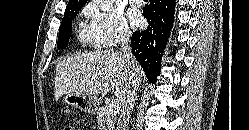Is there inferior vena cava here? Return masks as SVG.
Listing matches in <instances>:
<instances>
[{"instance_id":"inferior-vena-cava-1","label":"inferior vena cava","mask_w":249,"mask_h":130,"mask_svg":"<svg viewBox=\"0 0 249 130\" xmlns=\"http://www.w3.org/2000/svg\"><path fill=\"white\" fill-rule=\"evenodd\" d=\"M121 54L123 56L124 62L130 67V81L129 88L125 94V97L122 101V110L121 115L118 119V128L117 130H126L129 119L131 108L133 107L136 91L140 85L138 77L135 72V61L131 53V48L129 46V34L125 33L121 39Z\"/></svg>"}]
</instances>
